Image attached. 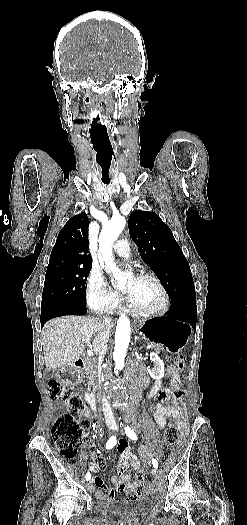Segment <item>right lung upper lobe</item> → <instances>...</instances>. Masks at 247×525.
<instances>
[{
	"instance_id": "1",
	"label": "right lung upper lobe",
	"mask_w": 247,
	"mask_h": 525,
	"mask_svg": "<svg viewBox=\"0 0 247 525\" xmlns=\"http://www.w3.org/2000/svg\"><path fill=\"white\" fill-rule=\"evenodd\" d=\"M89 220L85 213L70 218L58 234L47 271L91 268L88 247Z\"/></svg>"
}]
</instances>
